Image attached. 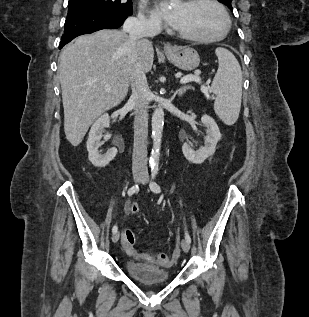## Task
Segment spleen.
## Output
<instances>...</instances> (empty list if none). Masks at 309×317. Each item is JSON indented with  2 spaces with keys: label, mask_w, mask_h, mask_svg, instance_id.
Returning a JSON list of instances; mask_svg holds the SVG:
<instances>
[{
  "label": "spleen",
  "mask_w": 309,
  "mask_h": 317,
  "mask_svg": "<svg viewBox=\"0 0 309 317\" xmlns=\"http://www.w3.org/2000/svg\"><path fill=\"white\" fill-rule=\"evenodd\" d=\"M218 57V70L211 89L215 94L214 110L226 124L233 125L240 113L242 99V71L235 56L227 49L215 50Z\"/></svg>",
  "instance_id": "1"
}]
</instances>
